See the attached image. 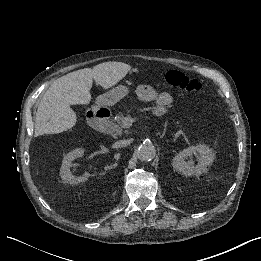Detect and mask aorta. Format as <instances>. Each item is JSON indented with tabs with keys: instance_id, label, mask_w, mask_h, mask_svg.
Listing matches in <instances>:
<instances>
[{
	"instance_id": "762f6f07",
	"label": "aorta",
	"mask_w": 261,
	"mask_h": 261,
	"mask_svg": "<svg viewBox=\"0 0 261 261\" xmlns=\"http://www.w3.org/2000/svg\"><path fill=\"white\" fill-rule=\"evenodd\" d=\"M155 147L153 144L144 142L138 148L139 158L143 161H151L155 157Z\"/></svg>"
}]
</instances>
